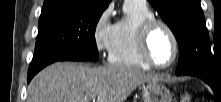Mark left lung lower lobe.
Returning a JSON list of instances; mask_svg holds the SVG:
<instances>
[{
  "instance_id": "obj_1",
  "label": "left lung lower lobe",
  "mask_w": 221,
  "mask_h": 102,
  "mask_svg": "<svg viewBox=\"0 0 221 102\" xmlns=\"http://www.w3.org/2000/svg\"><path fill=\"white\" fill-rule=\"evenodd\" d=\"M186 75L197 76V77L201 78L203 81H205L207 84H209L211 87L214 86L215 79L210 76H204V75H200V74H186Z\"/></svg>"
}]
</instances>
